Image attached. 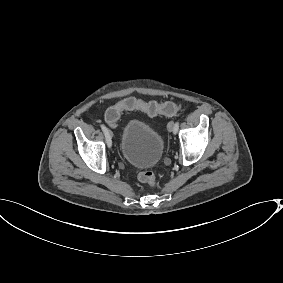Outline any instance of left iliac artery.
I'll return each mask as SVG.
<instances>
[{"mask_svg":"<svg viewBox=\"0 0 283 283\" xmlns=\"http://www.w3.org/2000/svg\"><path fill=\"white\" fill-rule=\"evenodd\" d=\"M179 130V122L177 121L175 124H174V134H177Z\"/></svg>","mask_w":283,"mask_h":283,"instance_id":"left-iliac-artery-1","label":"left iliac artery"}]
</instances>
